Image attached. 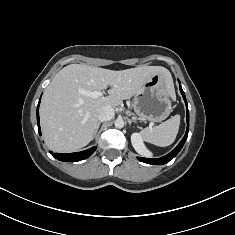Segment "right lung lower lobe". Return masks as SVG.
<instances>
[{
	"mask_svg": "<svg viewBox=\"0 0 235 235\" xmlns=\"http://www.w3.org/2000/svg\"><path fill=\"white\" fill-rule=\"evenodd\" d=\"M39 103H40V100H39ZM39 103L37 106V124H38V132L41 135L40 123H39ZM95 150H96V147L94 146L88 150H84V151L76 152V153H66V154L54 153L53 157L60 161L76 162V161H80V160H84L88 158L94 153Z\"/></svg>",
	"mask_w": 235,
	"mask_h": 235,
	"instance_id": "right-lung-lower-lobe-1",
	"label": "right lung lower lobe"
}]
</instances>
